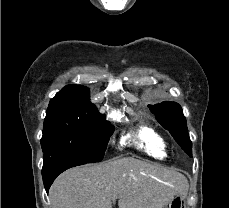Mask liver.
Returning a JSON list of instances; mask_svg holds the SVG:
<instances>
[{
	"instance_id": "1",
	"label": "liver",
	"mask_w": 229,
	"mask_h": 208,
	"mask_svg": "<svg viewBox=\"0 0 229 208\" xmlns=\"http://www.w3.org/2000/svg\"><path fill=\"white\" fill-rule=\"evenodd\" d=\"M187 178L173 168L135 158L87 164L63 172L53 182L52 208H164L174 192H188Z\"/></svg>"
}]
</instances>
